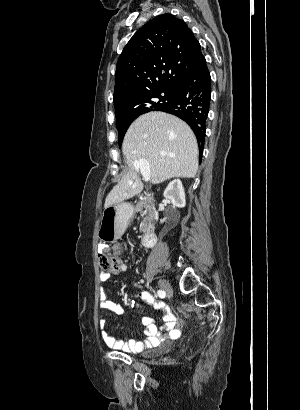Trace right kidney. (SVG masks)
Segmentation results:
<instances>
[{"label":"right kidney","mask_w":300,"mask_h":410,"mask_svg":"<svg viewBox=\"0 0 300 410\" xmlns=\"http://www.w3.org/2000/svg\"><path fill=\"white\" fill-rule=\"evenodd\" d=\"M166 200L171 201L172 205L177 208L185 207V192L182 182L179 179L172 180L164 191Z\"/></svg>","instance_id":"right-kidney-1"}]
</instances>
